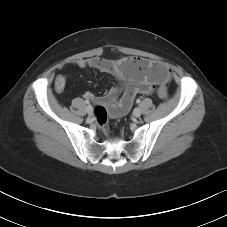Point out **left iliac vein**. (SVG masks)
I'll return each mask as SVG.
<instances>
[{
    "instance_id": "4c4485c4",
    "label": "left iliac vein",
    "mask_w": 227,
    "mask_h": 227,
    "mask_svg": "<svg viewBox=\"0 0 227 227\" xmlns=\"http://www.w3.org/2000/svg\"><path fill=\"white\" fill-rule=\"evenodd\" d=\"M133 115L135 116V117H140V115H141V109L140 108H135L134 109V111H133Z\"/></svg>"
}]
</instances>
